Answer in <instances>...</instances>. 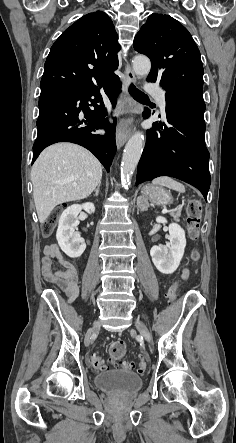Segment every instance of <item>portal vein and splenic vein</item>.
Returning <instances> with one entry per match:
<instances>
[{"instance_id":"18ae733b","label":"portal vein and splenic vein","mask_w":236,"mask_h":443,"mask_svg":"<svg viewBox=\"0 0 236 443\" xmlns=\"http://www.w3.org/2000/svg\"><path fill=\"white\" fill-rule=\"evenodd\" d=\"M167 212H168L167 209H164V210L162 211L163 214H165V213H167Z\"/></svg>"}]
</instances>
